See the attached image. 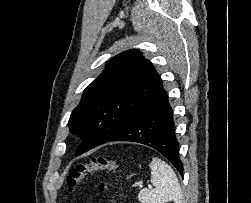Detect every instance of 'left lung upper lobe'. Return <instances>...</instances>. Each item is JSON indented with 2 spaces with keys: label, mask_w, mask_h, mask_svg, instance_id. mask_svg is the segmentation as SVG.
<instances>
[{
  "label": "left lung upper lobe",
  "mask_w": 251,
  "mask_h": 203,
  "mask_svg": "<svg viewBox=\"0 0 251 203\" xmlns=\"http://www.w3.org/2000/svg\"><path fill=\"white\" fill-rule=\"evenodd\" d=\"M163 89L150 61L132 49L113 57L85 90L69 119L70 131L83 135L76 156L110 140L150 105Z\"/></svg>",
  "instance_id": "obj_1"
}]
</instances>
